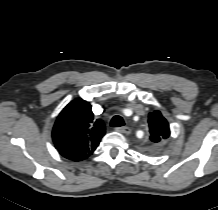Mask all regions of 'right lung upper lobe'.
<instances>
[{
	"label": "right lung upper lobe",
	"mask_w": 218,
	"mask_h": 210,
	"mask_svg": "<svg viewBox=\"0 0 218 210\" xmlns=\"http://www.w3.org/2000/svg\"><path fill=\"white\" fill-rule=\"evenodd\" d=\"M104 134V123L94 119L90 103L78 98L59 114L52 138L60 152L82 160L94 152Z\"/></svg>",
	"instance_id": "cb5924a9"
}]
</instances>
